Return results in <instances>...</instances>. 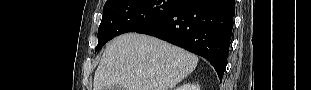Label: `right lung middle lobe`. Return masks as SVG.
Segmentation results:
<instances>
[{
  "mask_svg": "<svg viewBox=\"0 0 311 90\" xmlns=\"http://www.w3.org/2000/svg\"><path fill=\"white\" fill-rule=\"evenodd\" d=\"M180 0H109L103 8L96 51L113 37L136 32L167 15Z\"/></svg>",
  "mask_w": 311,
  "mask_h": 90,
  "instance_id": "1",
  "label": "right lung middle lobe"
}]
</instances>
